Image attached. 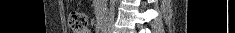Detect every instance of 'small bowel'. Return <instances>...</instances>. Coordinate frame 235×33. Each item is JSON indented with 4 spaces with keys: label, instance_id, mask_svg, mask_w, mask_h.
<instances>
[{
    "label": "small bowel",
    "instance_id": "obj_1",
    "mask_svg": "<svg viewBox=\"0 0 235 33\" xmlns=\"http://www.w3.org/2000/svg\"><path fill=\"white\" fill-rule=\"evenodd\" d=\"M84 33H90V31H89V30H86Z\"/></svg>",
    "mask_w": 235,
    "mask_h": 33
}]
</instances>
